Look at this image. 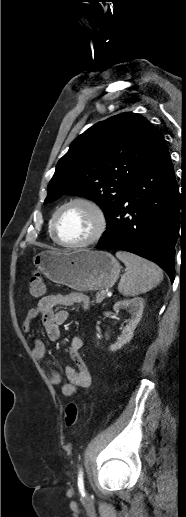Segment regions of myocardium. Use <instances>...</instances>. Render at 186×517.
<instances>
[{"label":"myocardium","instance_id":"f54148a6","mask_svg":"<svg viewBox=\"0 0 186 517\" xmlns=\"http://www.w3.org/2000/svg\"><path fill=\"white\" fill-rule=\"evenodd\" d=\"M72 205H83L87 207L95 217V228L91 235L87 237L85 240L77 243H68L63 241L57 232V221L61 212ZM107 228V216L103 210V208L93 199L88 197H75L70 199L69 201L63 203L61 206L57 208L54 212L51 219V233L54 240L61 246L71 249H78L90 246L97 242L105 233Z\"/></svg>","mask_w":186,"mask_h":517}]
</instances>
